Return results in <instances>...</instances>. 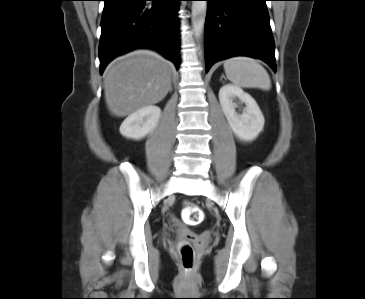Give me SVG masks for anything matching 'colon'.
Returning <instances> with one entry per match:
<instances>
[{"mask_svg": "<svg viewBox=\"0 0 365 299\" xmlns=\"http://www.w3.org/2000/svg\"><path fill=\"white\" fill-rule=\"evenodd\" d=\"M182 219L184 223L190 226L200 224L204 220V214L201 209L193 203L185 205L182 211ZM180 257L185 268L189 269L193 265L194 253L189 245H184L180 249Z\"/></svg>", "mask_w": 365, "mask_h": 299, "instance_id": "5ec220e1", "label": "colon"}]
</instances>
